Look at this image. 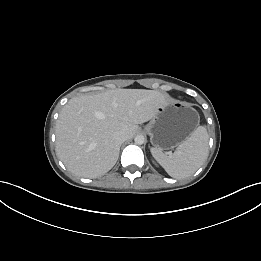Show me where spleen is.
<instances>
[{
    "mask_svg": "<svg viewBox=\"0 0 261 261\" xmlns=\"http://www.w3.org/2000/svg\"><path fill=\"white\" fill-rule=\"evenodd\" d=\"M151 153L165 171L173 178L193 175L208 156V133L205 126H199L189 138L178 145L172 154L152 148Z\"/></svg>",
    "mask_w": 261,
    "mask_h": 261,
    "instance_id": "obj_1",
    "label": "spleen"
}]
</instances>
